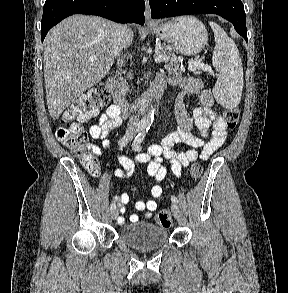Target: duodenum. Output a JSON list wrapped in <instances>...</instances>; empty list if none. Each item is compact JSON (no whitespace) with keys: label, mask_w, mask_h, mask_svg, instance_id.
Returning <instances> with one entry per match:
<instances>
[{"label":"duodenum","mask_w":288,"mask_h":293,"mask_svg":"<svg viewBox=\"0 0 288 293\" xmlns=\"http://www.w3.org/2000/svg\"><path fill=\"white\" fill-rule=\"evenodd\" d=\"M106 89L122 114L126 115L131 112L140 113L147 110L161 98L166 89V80L162 75H158L153 81L151 88L143 96L132 102L124 97L113 76H110L106 80Z\"/></svg>","instance_id":"1"}]
</instances>
